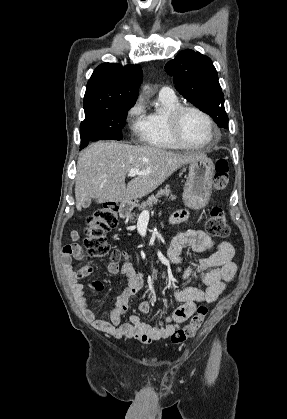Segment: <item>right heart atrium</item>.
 I'll return each instance as SVG.
<instances>
[{
  "label": "right heart atrium",
  "mask_w": 287,
  "mask_h": 419,
  "mask_svg": "<svg viewBox=\"0 0 287 419\" xmlns=\"http://www.w3.org/2000/svg\"><path fill=\"white\" fill-rule=\"evenodd\" d=\"M144 107L141 100H137L127 112V121L131 132L134 135H139L143 130L144 125Z\"/></svg>",
  "instance_id": "1"
}]
</instances>
